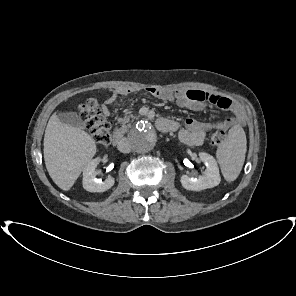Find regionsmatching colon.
I'll return each mask as SVG.
<instances>
[{
	"instance_id": "colon-1",
	"label": "colon",
	"mask_w": 296,
	"mask_h": 296,
	"mask_svg": "<svg viewBox=\"0 0 296 296\" xmlns=\"http://www.w3.org/2000/svg\"><path fill=\"white\" fill-rule=\"evenodd\" d=\"M78 112L81 121L90 130L95 142L100 147H109L111 144V127L97 101L94 99L86 100L79 105ZM226 138V131L219 129L211 134L209 141L211 145L219 146L225 142Z\"/></svg>"
}]
</instances>
